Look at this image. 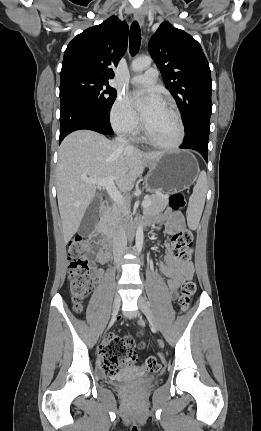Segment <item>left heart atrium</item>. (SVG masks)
<instances>
[{
    "instance_id": "1",
    "label": "left heart atrium",
    "mask_w": 261,
    "mask_h": 431,
    "mask_svg": "<svg viewBox=\"0 0 261 431\" xmlns=\"http://www.w3.org/2000/svg\"><path fill=\"white\" fill-rule=\"evenodd\" d=\"M142 96H145L146 104L139 109V116L141 121L146 124L151 116L162 106V100L153 90H137L130 96L132 104L135 106Z\"/></svg>"
}]
</instances>
